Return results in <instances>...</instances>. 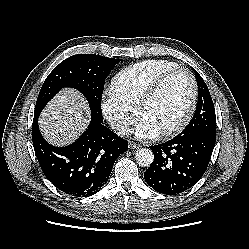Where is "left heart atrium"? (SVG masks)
Returning a JSON list of instances; mask_svg holds the SVG:
<instances>
[{
  "instance_id": "obj_1",
  "label": "left heart atrium",
  "mask_w": 249,
  "mask_h": 249,
  "mask_svg": "<svg viewBox=\"0 0 249 249\" xmlns=\"http://www.w3.org/2000/svg\"><path fill=\"white\" fill-rule=\"evenodd\" d=\"M159 133V128L145 118L140 120L135 130V136L139 139H151Z\"/></svg>"
}]
</instances>
